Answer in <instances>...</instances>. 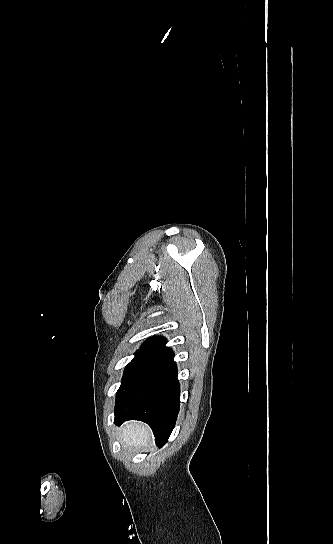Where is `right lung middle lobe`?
<instances>
[{
  "label": "right lung middle lobe",
  "mask_w": 333,
  "mask_h": 544,
  "mask_svg": "<svg viewBox=\"0 0 333 544\" xmlns=\"http://www.w3.org/2000/svg\"><path fill=\"white\" fill-rule=\"evenodd\" d=\"M151 349H139L135 353L133 360L126 366L123 375V382L118 391L125 385L129 378L135 373L137 368L143 363V361L148 357Z\"/></svg>",
  "instance_id": "1"
}]
</instances>
